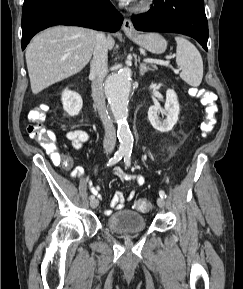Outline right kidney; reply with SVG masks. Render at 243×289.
Wrapping results in <instances>:
<instances>
[{
    "label": "right kidney",
    "mask_w": 243,
    "mask_h": 289,
    "mask_svg": "<svg viewBox=\"0 0 243 289\" xmlns=\"http://www.w3.org/2000/svg\"><path fill=\"white\" fill-rule=\"evenodd\" d=\"M61 100L64 111L70 116L78 115L82 109V97L76 92L65 89L62 93Z\"/></svg>",
    "instance_id": "obj_1"
}]
</instances>
